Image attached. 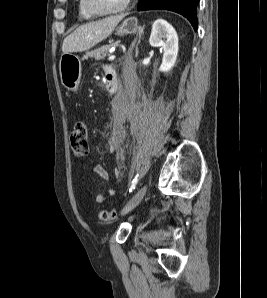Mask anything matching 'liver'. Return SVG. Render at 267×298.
<instances>
[{"label":"liver","mask_w":267,"mask_h":298,"mask_svg":"<svg viewBox=\"0 0 267 298\" xmlns=\"http://www.w3.org/2000/svg\"><path fill=\"white\" fill-rule=\"evenodd\" d=\"M125 15L110 16L79 26L62 44L63 54L83 52L107 38Z\"/></svg>","instance_id":"liver-1"}]
</instances>
